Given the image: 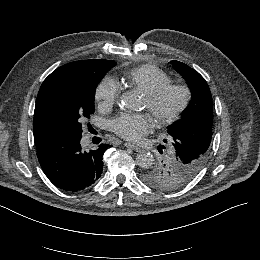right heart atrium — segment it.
Wrapping results in <instances>:
<instances>
[{
	"label": "right heart atrium",
	"instance_id": "obj_1",
	"mask_svg": "<svg viewBox=\"0 0 260 260\" xmlns=\"http://www.w3.org/2000/svg\"><path fill=\"white\" fill-rule=\"evenodd\" d=\"M118 83L111 77L103 78L95 89V99L104 108H111L119 96Z\"/></svg>",
	"mask_w": 260,
	"mask_h": 260
}]
</instances>
